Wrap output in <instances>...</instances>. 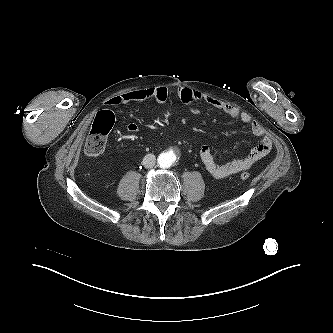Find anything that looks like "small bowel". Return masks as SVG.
Returning a JSON list of instances; mask_svg holds the SVG:
<instances>
[{"label": "small bowel", "mask_w": 333, "mask_h": 333, "mask_svg": "<svg viewBox=\"0 0 333 333\" xmlns=\"http://www.w3.org/2000/svg\"><path fill=\"white\" fill-rule=\"evenodd\" d=\"M169 95L170 90L167 87H150L114 96L110 98L106 104L109 106H118L129 102L146 100H152L156 103H164ZM177 96L183 104L190 106L198 101H205L228 116L241 120L250 128L254 136L261 138L260 143L255 146L247 156L225 164L218 163L210 147L208 145H203L200 149L199 156L206 171L214 178L223 179L248 170L272 150V140L266 135L264 128L247 112L241 111L228 103L188 87H180L177 91ZM192 111L196 112V109L193 108ZM127 130L136 133L139 131V126L132 122L127 125Z\"/></svg>", "instance_id": "small-bowel-1"}]
</instances>
